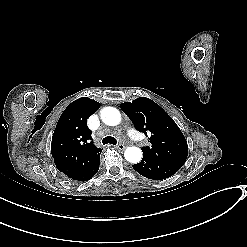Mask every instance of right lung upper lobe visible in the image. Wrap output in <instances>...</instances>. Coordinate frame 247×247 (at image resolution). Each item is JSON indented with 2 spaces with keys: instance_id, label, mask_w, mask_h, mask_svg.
Segmentation results:
<instances>
[{
  "instance_id": "right-lung-upper-lobe-1",
  "label": "right lung upper lobe",
  "mask_w": 247,
  "mask_h": 247,
  "mask_svg": "<svg viewBox=\"0 0 247 247\" xmlns=\"http://www.w3.org/2000/svg\"><path fill=\"white\" fill-rule=\"evenodd\" d=\"M100 103L87 97L79 98L67 106L56 125L51 153L59 171L73 177L83 171L100 155L91 138L87 119Z\"/></svg>"
}]
</instances>
